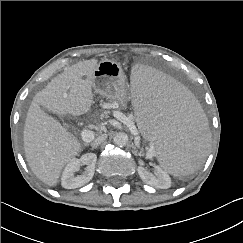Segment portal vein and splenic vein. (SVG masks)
<instances>
[{"label":"portal vein and splenic vein","mask_w":243,"mask_h":243,"mask_svg":"<svg viewBox=\"0 0 243 243\" xmlns=\"http://www.w3.org/2000/svg\"><path fill=\"white\" fill-rule=\"evenodd\" d=\"M116 117L118 120H120L122 123H124L134 135H137V128H136L134 122L132 121V117H127L122 113H117ZM93 136H94V134L90 130L84 129L81 131V137L84 141L91 140L93 138ZM146 156L148 158H152L155 156L154 146H150L149 150L147 151Z\"/></svg>","instance_id":"portal-vein-and-splenic-vein-1"}]
</instances>
